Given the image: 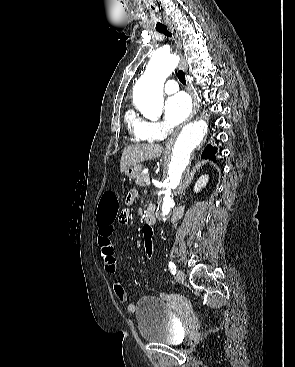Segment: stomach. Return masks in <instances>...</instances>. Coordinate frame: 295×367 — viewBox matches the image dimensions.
<instances>
[{
    "label": "stomach",
    "instance_id": "stomach-1",
    "mask_svg": "<svg viewBox=\"0 0 295 367\" xmlns=\"http://www.w3.org/2000/svg\"><path fill=\"white\" fill-rule=\"evenodd\" d=\"M141 170H142V166L141 164H134L130 167H128L126 170H125V174L131 178V179H134V178H137L140 173H141Z\"/></svg>",
    "mask_w": 295,
    "mask_h": 367
}]
</instances>
